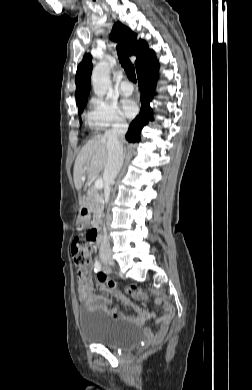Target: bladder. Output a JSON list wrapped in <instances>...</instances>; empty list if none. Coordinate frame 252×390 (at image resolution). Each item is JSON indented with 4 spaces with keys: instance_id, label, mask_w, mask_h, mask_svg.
<instances>
[{
    "instance_id": "31cf9c89",
    "label": "bladder",
    "mask_w": 252,
    "mask_h": 390,
    "mask_svg": "<svg viewBox=\"0 0 252 390\" xmlns=\"http://www.w3.org/2000/svg\"><path fill=\"white\" fill-rule=\"evenodd\" d=\"M79 324L81 335L85 341L111 348H133L144 337L143 328L136 323L108 319L85 311L79 312Z\"/></svg>"
}]
</instances>
